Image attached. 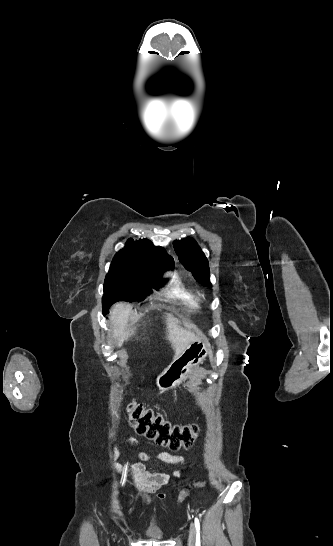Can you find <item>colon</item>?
<instances>
[{
	"mask_svg": "<svg viewBox=\"0 0 333 546\" xmlns=\"http://www.w3.org/2000/svg\"><path fill=\"white\" fill-rule=\"evenodd\" d=\"M127 414L131 427L137 433L169 449L189 450L197 438L198 426L172 425L141 404L130 403L127 407ZM201 486V483H196L193 488ZM189 492L190 490L183 491L179 497L180 501L184 500Z\"/></svg>",
	"mask_w": 333,
	"mask_h": 546,
	"instance_id": "1",
	"label": "colon"
}]
</instances>
